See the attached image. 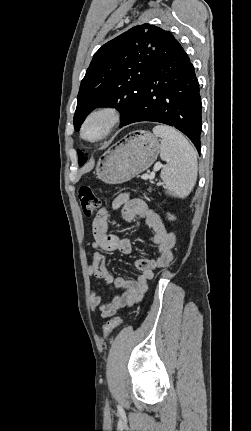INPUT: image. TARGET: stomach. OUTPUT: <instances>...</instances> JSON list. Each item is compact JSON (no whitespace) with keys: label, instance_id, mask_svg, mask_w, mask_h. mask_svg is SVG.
I'll return each instance as SVG.
<instances>
[{"label":"stomach","instance_id":"1","mask_svg":"<svg viewBox=\"0 0 251 431\" xmlns=\"http://www.w3.org/2000/svg\"><path fill=\"white\" fill-rule=\"evenodd\" d=\"M160 143L149 131H133L99 159L96 176L107 184H121L148 169L157 159Z\"/></svg>","mask_w":251,"mask_h":431}]
</instances>
